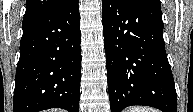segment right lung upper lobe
Listing matches in <instances>:
<instances>
[{"label":"right lung upper lobe","instance_id":"right-lung-upper-lobe-1","mask_svg":"<svg viewBox=\"0 0 193 112\" xmlns=\"http://www.w3.org/2000/svg\"><path fill=\"white\" fill-rule=\"evenodd\" d=\"M67 0H26V12L23 23L39 18L59 6Z\"/></svg>","mask_w":193,"mask_h":112}]
</instances>
